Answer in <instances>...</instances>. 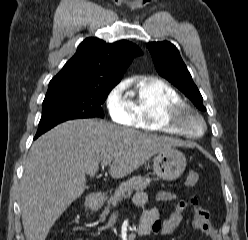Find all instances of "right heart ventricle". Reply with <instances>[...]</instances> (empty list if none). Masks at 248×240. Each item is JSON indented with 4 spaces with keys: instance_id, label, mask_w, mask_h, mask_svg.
Listing matches in <instances>:
<instances>
[{
    "instance_id": "e07e8e85",
    "label": "right heart ventricle",
    "mask_w": 248,
    "mask_h": 240,
    "mask_svg": "<svg viewBox=\"0 0 248 240\" xmlns=\"http://www.w3.org/2000/svg\"><path fill=\"white\" fill-rule=\"evenodd\" d=\"M183 101L179 92L158 78H144L137 82L131 104L135 116L134 127L150 132H172L163 123L167 106Z\"/></svg>"
}]
</instances>
